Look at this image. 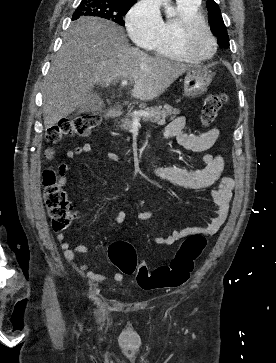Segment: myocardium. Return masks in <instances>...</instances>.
Masks as SVG:
<instances>
[{"instance_id":"myocardium-1","label":"myocardium","mask_w":276,"mask_h":363,"mask_svg":"<svg viewBox=\"0 0 276 363\" xmlns=\"http://www.w3.org/2000/svg\"><path fill=\"white\" fill-rule=\"evenodd\" d=\"M198 28H203L212 41V51L206 56L195 54L189 47V39L194 31ZM178 42L181 50L184 52L187 58L194 62H206L210 60L216 54L218 48L217 39L214 36L209 24L205 19L200 17L189 18L180 23L178 27Z\"/></svg>"}]
</instances>
